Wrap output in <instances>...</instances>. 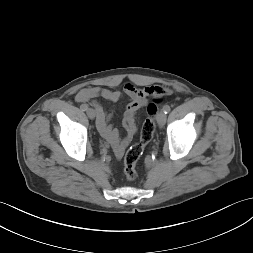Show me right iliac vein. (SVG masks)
<instances>
[{
  "label": "right iliac vein",
  "instance_id": "63e3f726",
  "mask_svg": "<svg viewBox=\"0 0 253 253\" xmlns=\"http://www.w3.org/2000/svg\"><path fill=\"white\" fill-rule=\"evenodd\" d=\"M86 113L90 119H94L96 116L95 110L92 108H89Z\"/></svg>",
  "mask_w": 253,
  "mask_h": 253
}]
</instances>
